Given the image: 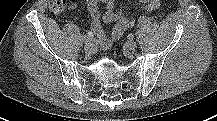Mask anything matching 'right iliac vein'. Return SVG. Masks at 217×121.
<instances>
[{"label":"right iliac vein","instance_id":"obj_1","mask_svg":"<svg viewBox=\"0 0 217 121\" xmlns=\"http://www.w3.org/2000/svg\"><path fill=\"white\" fill-rule=\"evenodd\" d=\"M94 45L92 44H86L84 46V51L87 53V54H92L94 52Z\"/></svg>","mask_w":217,"mask_h":121}]
</instances>
